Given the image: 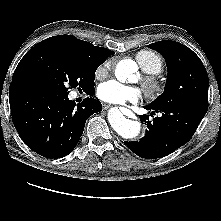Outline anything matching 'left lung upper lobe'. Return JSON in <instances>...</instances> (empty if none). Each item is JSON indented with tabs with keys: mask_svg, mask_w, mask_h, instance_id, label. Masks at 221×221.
<instances>
[{
	"mask_svg": "<svg viewBox=\"0 0 221 221\" xmlns=\"http://www.w3.org/2000/svg\"><path fill=\"white\" fill-rule=\"evenodd\" d=\"M147 47L158 51L168 68L165 91L150 105L163 108L176 103L186 106L208 104V75L200 58L190 48L170 40Z\"/></svg>",
	"mask_w": 221,
	"mask_h": 221,
	"instance_id": "5c2ea615",
	"label": "left lung upper lobe"
}]
</instances>
